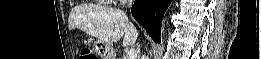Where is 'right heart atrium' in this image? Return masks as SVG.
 Wrapping results in <instances>:
<instances>
[{
	"instance_id": "right-heart-atrium-1",
	"label": "right heart atrium",
	"mask_w": 261,
	"mask_h": 59,
	"mask_svg": "<svg viewBox=\"0 0 261 59\" xmlns=\"http://www.w3.org/2000/svg\"><path fill=\"white\" fill-rule=\"evenodd\" d=\"M125 0H119V2L123 3Z\"/></svg>"
}]
</instances>
